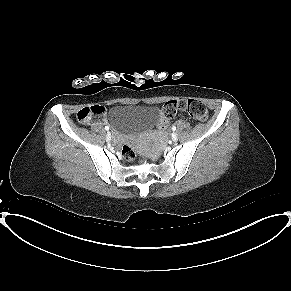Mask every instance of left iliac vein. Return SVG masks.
Listing matches in <instances>:
<instances>
[{"label": "left iliac vein", "instance_id": "obj_1", "mask_svg": "<svg viewBox=\"0 0 291 291\" xmlns=\"http://www.w3.org/2000/svg\"><path fill=\"white\" fill-rule=\"evenodd\" d=\"M178 140V135L176 133L172 134V141L176 142Z\"/></svg>", "mask_w": 291, "mask_h": 291}]
</instances>
